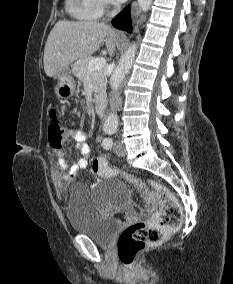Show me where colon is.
<instances>
[{"label":"colon","instance_id":"1","mask_svg":"<svg viewBox=\"0 0 233 284\" xmlns=\"http://www.w3.org/2000/svg\"><path fill=\"white\" fill-rule=\"evenodd\" d=\"M48 142L60 149L66 140V128L56 109H51L48 121ZM91 171L106 179L122 177L136 188L140 196L152 204L158 200L160 210L150 222H136L123 230L118 240V256L127 269H134L138 254L145 247L162 242L165 236L179 227L182 210L173 193L158 181L150 180L153 191L149 192L142 181L131 174L121 172L109 165L104 158L92 162Z\"/></svg>","mask_w":233,"mask_h":284}]
</instances>
